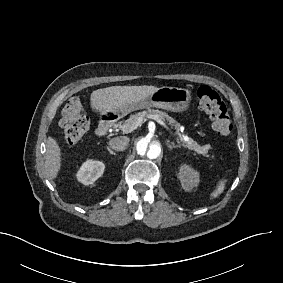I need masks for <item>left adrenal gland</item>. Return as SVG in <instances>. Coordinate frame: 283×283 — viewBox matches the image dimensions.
Returning <instances> with one entry per match:
<instances>
[{
    "label": "left adrenal gland",
    "instance_id": "obj_1",
    "mask_svg": "<svg viewBox=\"0 0 283 283\" xmlns=\"http://www.w3.org/2000/svg\"><path fill=\"white\" fill-rule=\"evenodd\" d=\"M166 145L169 149H173V148H177V147H181V145H175L173 142L170 143L169 140L166 141Z\"/></svg>",
    "mask_w": 283,
    "mask_h": 283
}]
</instances>
